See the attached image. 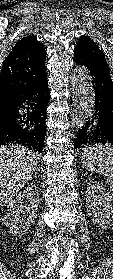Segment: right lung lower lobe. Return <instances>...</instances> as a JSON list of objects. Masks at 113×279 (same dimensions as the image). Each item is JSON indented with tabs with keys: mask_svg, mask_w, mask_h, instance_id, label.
Listing matches in <instances>:
<instances>
[{
	"mask_svg": "<svg viewBox=\"0 0 113 279\" xmlns=\"http://www.w3.org/2000/svg\"><path fill=\"white\" fill-rule=\"evenodd\" d=\"M49 98L45 73L18 97L0 120V143H18L41 153Z\"/></svg>",
	"mask_w": 113,
	"mask_h": 279,
	"instance_id": "right-lung-lower-lobe-1",
	"label": "right lung lower lobe"
}]
</instances>
